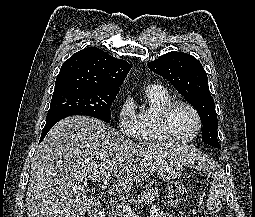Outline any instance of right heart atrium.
<instances>
[{"instance_id":"d8ad5b80","label":"right heart atrium","mask_w":255,"mask_h":217,"mask_svg":"<svg viewBox=\"0 0 255 217\" xmlns=\"http://www.w3.org/2000/svg\"><path fill=\"white\" fill-rule=\"evenodd\" d=\"M117 127L121 134L126 137L135 138L138 131L137 113L129 98L124 99L118 107Z\"/></svg>"}]
</instances>
